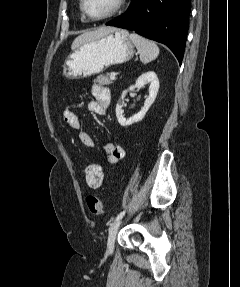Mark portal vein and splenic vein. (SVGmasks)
Returning a JSON list of instances; mask_svg holds the SVG:
<instances>
[{
  "label": "portal vein and splenic vein",
  "mask_w": 240,
  "mask_h": 287,
  "mask_svg": "<svg viewBox=\"0 0 240 287\" xmlns=\"http://www.w3.org/2000/svg\"><path fill=\"white\" fill-rule=\"evenodd\" d=\"M110 79L114 80L115 79V73H111Z\"/></svg>",
  "instance_id": "portal-vein-and-splenic-vein-1"
}]
</instances>
